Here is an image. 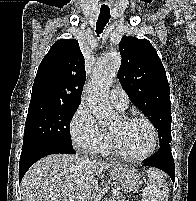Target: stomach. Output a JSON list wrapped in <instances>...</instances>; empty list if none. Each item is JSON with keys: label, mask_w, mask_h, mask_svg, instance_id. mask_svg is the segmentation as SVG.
I'll return each mask as SVG.
<instances>
[{"label": "stomach", "mask_w": 196, "mask_h": 201, "mask_svg": "<svg viewBox=\"0 0 196 201\" xmlns=\"http://www.w3.org/2000/svg\"><path fill=\"white\" fill-rule=\"evenodd\" d=\"M112 178L121 186L124 191L132 192L139 188L141 183L140 175L134 168L119 167L113 172Z\"/></svg>", "instance_id": "0dacf381"}]
</instances>
